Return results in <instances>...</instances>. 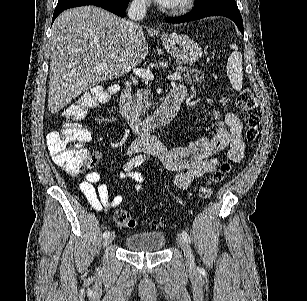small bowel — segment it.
Listing matches in <instances>:
<instances>
[{"instance_id": "small-bowel-1", "label": "small bowel", "mask_w": 307, "mask_h": 301, "mask_svg": "<svg viewBox=\"0 0 307 301\" xmlns=\"http://www.w3.org/2000/svg\"><path fill=\"white\" fill-rule=\"evenodd\" d=\"M177 91L185 94L183 87ZM243 125L238 116L228 112L224 116L215 115V133L211 138H200L192 141L185 147L172 149L164 148L155 140L136 142L131 152L139 150H151L161 160L169 171L177 173L175 184L185 189L197 178L216 170L219 161L214 157L217 153L227 149L229 158L239 163L244 156L245 143L242 137ZM121 177L130 176L135 180L133 189L136 192L142 190V176L140 173L128 169L120 173ZM80 190L89 205L96 211L104 207H117L123 197L117 195L110 198L108 186L101 182V174L97 171L89 172L85 180L80 184Z\"/></svg>"}]
</instances>
